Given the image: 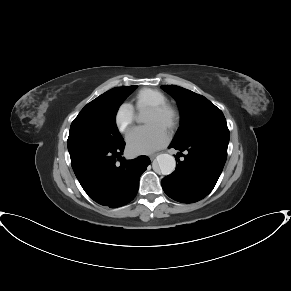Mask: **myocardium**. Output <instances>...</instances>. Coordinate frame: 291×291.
Here are the masks:
<instances>
[{"label": "myocardium", "mask_w": 291, "mask_h": 291, "mask_svg": "<svg viewBox=\"0 0 291 291\" xmlns=\"http://www.w3.org/2000/svg\"><path fill=\"white\" fill-rule=\"evenodd\" d=\"M148 110H151L163 117L165 120V127L172 131L177 128L180 122V114L179 111L170 104H160V105H152L148 107Z\"/></svg>", "instance_id": "obj_1"}]
</instances>
